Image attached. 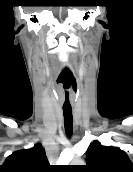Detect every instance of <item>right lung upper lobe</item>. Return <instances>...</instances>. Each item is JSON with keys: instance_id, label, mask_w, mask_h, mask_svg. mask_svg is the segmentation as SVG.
I'll use <instances>...</instances> for the list:
<instances>
[{"instance_id": "right-lung-upper-lobe-1", "label": "right lung upper lobe", "mask_w": 133, "mask_h": 172, "mask_svg": "<svg viewBox=\"0 0 133 172\" xmlns=\"http://www.w3.org/2000/svg\"><path fill=\"white\" fill-rule=\"evenodd\" d=\"M50 165L41 144L19 150L8 156L0 172H50Z\"/></svg>"}]
</instances>
